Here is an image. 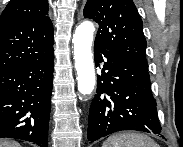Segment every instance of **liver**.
Returning <instances> with one entry per match:
<instances>
[{
	"label": "liver",
	"mask_w": 183,
	"mask_h": 147,
	"mask_svg": "<svg viewBox=\"0 0 183 147\" xmlns=\"http://www.w3.org/2000/svg\"><path fill=\"white\" fill-rule=\"evenodd\" d=\"M0 147H20V144L12 140H0Z\"/></svg>",
	"instance_id": "liver-1"
}]
</instances>
